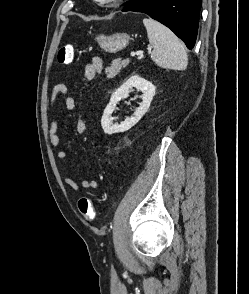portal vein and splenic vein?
<instances>
[{"label":"portal vein and splenic vein","mask_w":249,"mask_h":294,"mask_svg":"<svg viewBox=\"0 0 249 294\" xmlns=\"http://www.w3.org/2000/svg\"><path fill=\"white\" fill-rule=\"evenodd\" d=\"M135 55H138V56H140V57H143V52L140 51V52L136 53V52L133 51V52L130 53V56H131V57H134Z\"/></svg>","instance_id":"obj_1"}]
</instances>
